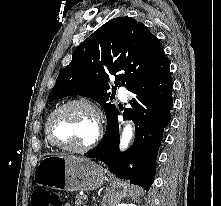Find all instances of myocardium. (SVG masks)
<instances>
[{
    "label": "myocardium",
    "mask_w": 221,
    "mask_h": 206,
    "mask_svg": "<svg viewBox=\"0 0 221 206\" xmlns=\"http://www.w3.org/2000/svg\"><path fill=\"white\" fill-rule=\"evenodd\" d=\"M71 106L84 107L91 113L94 119V124H95L94 135L88 143L80 147H72V146L60 144L53 139L52 134H51V125L55 116L61 111H63L64 109L71 107ZM45 133H46L47 140L52 146L60 150L67 151V152L85 153L93 149L98 144L101 138V135H102L101 117L99 115L97 108L90 101L85 100V99H71L62 103L50 113L46 121Z\"/></svg>",
    "instance_id": "f54148a6"
}]
</instances>
